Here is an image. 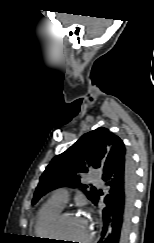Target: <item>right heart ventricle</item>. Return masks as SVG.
Returning <instances> with one entry per match:
<instances>
[{
    "mask_svg": "<svg viewBox=\"0 0 154 243\" xmlns=\"http://www.w3.org/2000/svg\"><path fill=\"white\" fill-rule=\"evenodd\" d=\"M63 207L49 200L39 210L34 231L36 236L49 240L54 239L52 235V223L54 218L62 211Z\"/></svg>",
    "mask_w": 154,
    "mask_h": 243,
    "instance_id": "e07e8e85",
    "label": "right heart ventricle"
}]
</instances>
